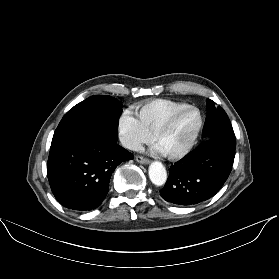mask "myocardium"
Here are the masks:
<instances>
[{"label": "myocardium", "instance_id": "obj_1", "mask_svg": "<svg viewBox=\"0 0 279 279\" xmlns=\"http://www.w3.org/2000/svg\"><path fill=\"white\" fill-rule=\"evenodd\" d=\"M187 110H194L198 113L199 116V122L198 125L190 139V141L188 142V144L179 152L176 153H172V154H165V156L170 159V160H179L182 159L184 157H186L194 148L197 139L202 131L203 128V124H204V119H203V115L202 112L200 111L199 108H197L196 106L193 105H186L182 108L177 109L176 111H174L168 118L167 120L161 125V127L157 130V132L154 135V140L155 142L158 144L159 141L161 140V138L171 129L172 125L174 124V122L176 121V119L185 111Z\"/></svg>", "mask_w": 279, "mask_h": 279}]
</instances>
